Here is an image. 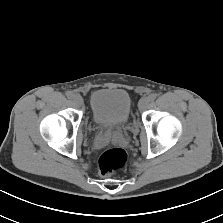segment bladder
Segmentation results:
<instances>
[{
	"instance_id": "1",
	"label": "bladder",
	"mask_w": 223,
	"mask_h": 223,
	"mask_svg": "<svg viewBox=\"0 0 223 223\" xmlns=\"http://www.w3.org/2000/svg\"><path fill=\"white\" fill-rule=\"evenodd\" d=\"M90 109L96 125L112 129L127 123L132 100L124 89H97L90 95Z\"/></svg>"
}]
</instances>
